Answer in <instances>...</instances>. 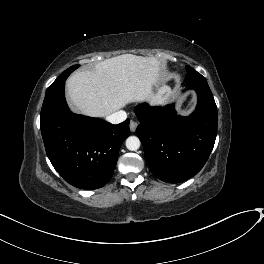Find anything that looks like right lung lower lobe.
Wrapping results in <instances>:
<instances>
[{"mask_svg":"<svg viewBox=\"0 0 264 264\" xmlns=\"http://www.w3.org/2000/svg\"><path fill=\"white\" fill-rule=\"evenodd\" d=\"M65 81L46 92L40 127L47 156L69 184L98 189L113 176L119 149L129 136V120L113 125L73 114L65 100Z\"/></svg>","mask_w":264,"mask_h":264,"instance_id":"right-lung-lower-lobe-1","label":"right lung lower lobe"}]
</instances>
